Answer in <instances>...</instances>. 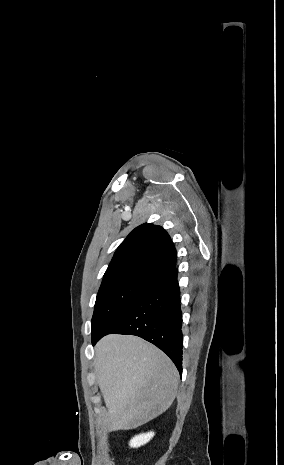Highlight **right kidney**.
Segmentation results:
<instances>
[{"label":"right kidney","instance_id":"obj_1","mask_svg":"<svg viewBox=\"0 0 284 465\" xmlns=\"http://www.w3.org/2000/svg\"><path fill=\"white\" fill-rule=\"evenodd\" d=\"M154 437V433H143V435H136V437H133L130 441V447H133V449H136V447H141V445H146L150 439Z\"/></svg>","mask_w":284,"mask_h":465}]
</instances>
